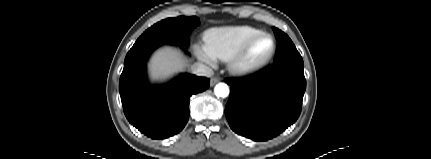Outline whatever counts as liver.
Wrapping results in <instances>:
<instances>
[{
  "label": "liver",
  "instance_id": "liver-1",
  "mask_svg": "<svg viewBox=\"0 0 431 159\" xmlns=\"http://www.w3.org/2000/svg\"><path fill=\"white\" fill-rule=\"evenodd\" d=\"M186 66V60L182 54L170 47L159 49L152 56L149 70L152 79H165L174 73L182 71Z\"/></svg>",
  "mask_w": 431,
  "mask_h": 159
}]
</instances>
